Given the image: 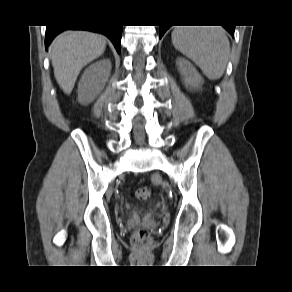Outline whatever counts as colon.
<instances>
[{
    "label": "colon",
    "mask_w": 292,
    "mask_h": 292,
    "mask_svg": "<svg viewBox=\"0 0 292 292\" xmlns=\"http://www.w3.org/2000/svg\"><path fill=\"white\" fill-rule=\"evenodd\" d=\"M135 195L140 200H147L151 196V189L148 186H141L136 189ZM150 239L146 229H138L132 235V242L137 245L144 244Z\"/></svg>",
    "instance_id": "5ec220e1"
}]
</instances>
